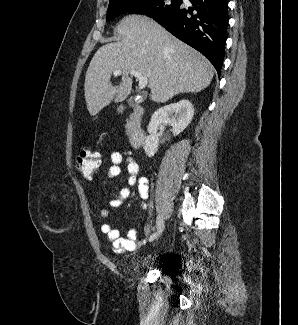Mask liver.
Instances as JSON below:
<instances>
[{
  "instance_id": "1",
  "label": "liver",
  "mask_w": 298,
  "mask_h": 325,
  "mask_svg": "<svg viewBox=\"0 0 298 325\" xmlns=\"http://www.w3.org/2000/svg\"><path fill=\"white\" fill-rule=\"evenodd\" d=\"M115 32L122 34V40L100 46L86 70L84 98L91 116L112 100L122 102L129 96L133 78L128 70L148 76L149 98L154 102H167L180 92H200L214 76L206 56L153 18L129 14ZM113 70H122L116 86L111 82Z\"/></svg>"
}]
</instances>
